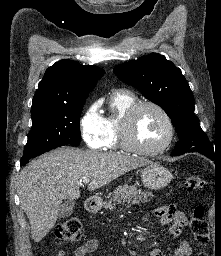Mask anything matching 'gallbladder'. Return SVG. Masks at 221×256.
Masks as SVG:
<instances>
[{"mask_svg": "<svg viewBox=\"0 0 221 256\" xmlns=\"http://www.w3.org/2000/svg\"><path fill=\"white\" fill-rule=\"evenodd\" d=\"M74 207H75V202L73 200L65 201L60 206L59 217L60 218H67V217H69L72 214Z\"/></svg>", "mask_w": 221, "mask_h": 256, "instance_id": "gallbladder-1", "label": "gallbladder"}]
</instances>
